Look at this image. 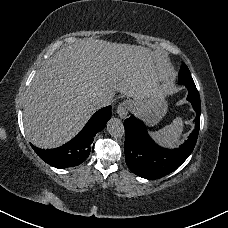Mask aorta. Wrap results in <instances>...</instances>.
Masks as SVG:
<instances>
[{"mask_svg":"<svg viewBox=\"0 0 228 228\" xmlns=\"http://www.w3.org/2000/svg\"><path fill=\"white\" fill-rule=\"evenodd\" d=\"M107 130L108 133L115 137H122L125 133L123 123L118 118H111L107 123Z\"/></svg>","mask_w":228,"mask_h":228,"instance_id":"obj_1","label":"aorta"}]
</instances>
